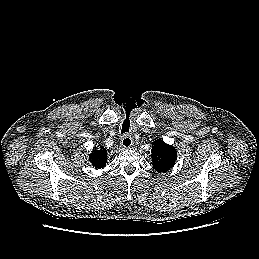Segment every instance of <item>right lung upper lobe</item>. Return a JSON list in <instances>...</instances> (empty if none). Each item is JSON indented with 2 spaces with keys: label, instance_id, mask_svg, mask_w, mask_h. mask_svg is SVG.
<instances>
[{
  "label": "right lung upper lobe",
  "instance_id": "right-lung-upper-lobe-1",
  "mask_svg": "<svg viewBox=\"0 0 259 259\" xmlns=\"http://www.w3.org/2000/svg\"><path fill=\"white\" fill-rule=\"evenodd\" d=\"M91 164L100 169L105 167L107 161V150L104 147L95 148L89 156Z\"/></svg>",
  "mask_w": 259,
  "mask_h": 259
}]
</instances>
